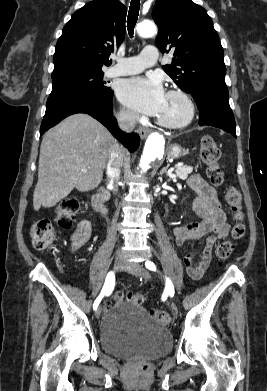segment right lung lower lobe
I'll return each mask as SVG.
<instances>
[{"instance_id":"98d812e1","label":"right lung lower lobe","mask_w":267,"mask_h":391,"mask_svg":"<svg viewBox=\"0 0 267 391\" xmlns=\"http://www.w3.org/2000/svg\"><path fill=\"white\" fill-rule=\"evenodd\" d=\"M113 94L102 96L85 92H66L49 96L40 135L58 124L65 117L75 113H87L101 122L130 152L139 146L140 137L136 133H124L113 117Z\"/></svg>"}]
</instances>
